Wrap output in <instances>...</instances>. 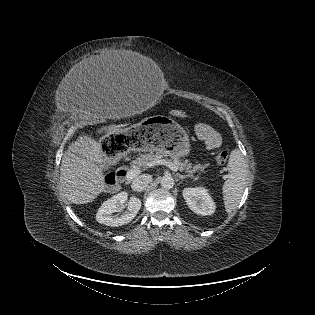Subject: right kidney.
Here are the masks:
<instances>
[{
	"label": "right kidney",
	"instance_id": "1",
	"mask_svg": "<svg viewBox=\"0 0 315 315\" xmlns=\"http://www.w3.org/2000/svg\"><path fill=\"white\" fill-rule=\"evenodd\" d=\"M127 199L128 193L120 192L106 200L98 209L97 222L111 227H118L131 222L141 208V201L137 197H131L126 204ZM125 204L127 211L124 214L121 216L113 215V213L121 211Z\"/></svg>",
	"mask_w": 315,
	"mask_h": 315
}]
</instances>
